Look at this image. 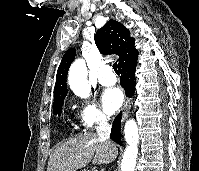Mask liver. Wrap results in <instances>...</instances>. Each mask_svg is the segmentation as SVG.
<instances>
[{"label":"liver","instance_id":"obj_1","mask_svg":"<svg viewBox=\"0 0 199 171\" xmlns=\"http://www.w3.org/2000/svg\"><path fill=\"white\" fill-rule=\"evenodd\" d=\"M117 147L95 133L79 134L59 145L51 154L47 171H77L91 160L94 165L108 164L117 157Z\"/></svg>","mask_w":199,"mask_h":171}]
</instances>
